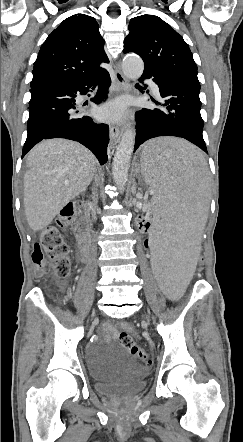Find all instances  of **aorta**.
Here are the masks:
<instances>
[{"label": "aorta", "instance_id": "762f6f07", "mask_svg": "<svg viewBox=\"0 0 243 442\" xmlns=\"http://www.w3.org/2000/svg\"><path fill=\"white\" fill-rule=\"evenodd\" d=\"M122 69L126 77L136 80L143 73L144 63L139 56L127 55L122 62ZM135 136L136 132L134 129L126 130L113 158L112 175L115 184L120 189L124 188L128 180V170L134 149Z\"/></svg>", "mask_w": 243, "mask_h": 442}]
</instances>
